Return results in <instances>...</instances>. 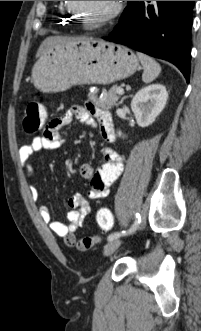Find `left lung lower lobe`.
<instances>
[{"mask_svg":"<svg viewBox=\"0 0 201 331\" xmlns=\"http://www.w3.org/2000/svg\"><path fill=\"white\" fill-rule=\"evenodd\" d=\"M195 1H128L105 40L167 60L190 79L191 26Z\"/></svg>","mask_w":201,"mask_h":331,"instance_id":"0a47b994","label":"left lung lower lobe"}]
</instances>
